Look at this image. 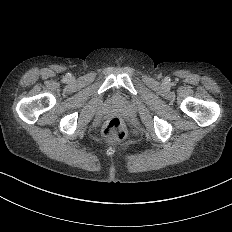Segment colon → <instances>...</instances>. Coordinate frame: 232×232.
<instances>
[{
    "mask_svg": "<svg viewBox=\"0 0 232 232\" xmlns=\"http://www.w3.org/2000/svg\"><path fill=\"white\" fill-rule=\"evenodd\" d=\"M126 131V124L122 120H113L108 122L101 130V137L105 141L119 139Z\"/></svg>",
    "mask_w": 232,
    "mask_h": 232,
    "instance_id": "obj_1",
    "label": "colon"
}]
</instances>
